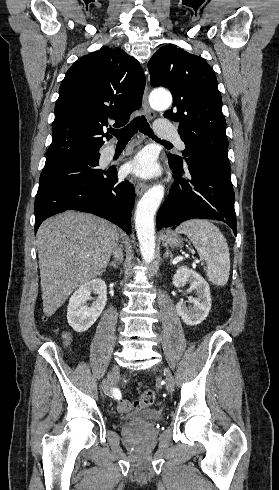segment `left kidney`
Returning <instances> with one entry per match:
<instances>
[{"mask_svg": "<svg viewBox=\"0 0 279 490\" xmlns=\"http://www.w3.org/2000/svg\"><path fill=\"white\" fill-rule=\"evenodd\" d=\"M173 286L175 288H181L185 284H190L189 290H195L197 298L191 300L192 308L187 306L186 302H178L176 304L177 314H179L181 320H183L186 326H197L206 320L210 310H211V294L210 288L197 272L194 270H189L186 266H181L176 270L172 278Z\"/></svg>", "mask_w": 279, "mask_h": 490, "instance_id": "left-kidney-1", "label": "left kidney"}]
</instances>
